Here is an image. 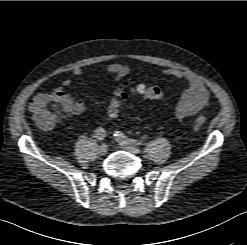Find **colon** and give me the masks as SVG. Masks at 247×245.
<instances>
[{
  "instance_id": "1",
  "label": "colon",
  "mask_w": 247,
  "mask_h": 245,
  "mask_svg": "<svg viewBox=\"0 0 247 245\" xmlns=\"http://www.w3.org/2000/svg\"><path fill=\"white\" fill-rule=\"evenodd\" d=\"M127 90L133 91L146 99H159L162 97V90L155 85L137 84L125 81L120 83L109 102L107 107V116L110 119H116L119 115L122 102L127 97ZM69 109L68 100L58 93H44L36 96L30 104V110L33 114L35 123L44 130L53 127L55 122L66 115ZM205 124V118L201 115L194 120V127L201 128Z\"/></svg>"
}]
</instances>
